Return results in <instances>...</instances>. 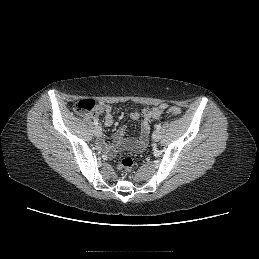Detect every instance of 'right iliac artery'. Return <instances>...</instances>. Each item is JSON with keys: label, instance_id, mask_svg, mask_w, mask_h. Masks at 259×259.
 <instances>
[{"label": "right iliac artery", "instance_id": "82829eb1", "mask_svg": "<svg viewBox=\"0 0 259 259\" xmlns=\"http://www.w3.org/2000/svg\"><path fill=\"white\" fill-rule=\"evenodd\" d=\"M93 123H94L95 126H98V122L96 120H94Z\"/></svg>", "mask_w": 259, "mask_h": 259}]
</instances>
